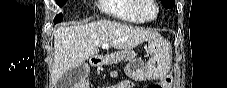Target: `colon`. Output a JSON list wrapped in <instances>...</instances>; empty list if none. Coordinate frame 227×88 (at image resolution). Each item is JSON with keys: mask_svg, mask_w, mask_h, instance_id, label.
I'll list each match as a JSON object with an SVG mask.
<instances>
[{"mask_svg": "<svg viewBox=\"0 0 227 88\" xmlns=\"http://www.w3.org/2000/svg\"><path fill=\"white\" fill-rule=\"evenodd\" d=\"M150 88H162V86L159 84V85H152L150 86Z\"/></svg>", "mask_w": 227, "mask_h": 88, "instance_id": "5ec220e1", "label": "colon"}]
</instances>
